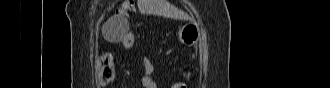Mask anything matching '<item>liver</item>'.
I'll use <instances>...</instances> for the list:
<instances>
[{"label": "liver", "instance_id": "6515ba94", "mask_svg": "<svg viewBox=\"0 0 330 88\" xmlns=\"http://www.w3.org/2000/svg\"><path fill=\"white\" fill-rule=\"evenodd\" d=\"M137 5L139 11L144 14H160L169 17L176 16V14L171 11L170 4L165 0H138Z\"/></svg>", "mask_w": 330, "mask_h": 88}]
</instances>
